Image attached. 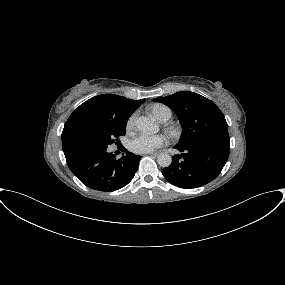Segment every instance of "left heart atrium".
<instances>
[{"label":"left heart atrium","instance_id":"39dd6f15","mask_svg":"<svg viewBox=\"0 0 285 285\" xmlns=\"http://www.w3.org/2000/svg\"><path fill=\"white\" fill-rule=\"evenodd\" d=\"M167 143L162 135L139 134L130 142V149L136 153H150Z\"/></svg>","mask_w":285,"mask_h":285}]
</instances>
